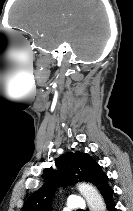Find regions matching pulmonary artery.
Listing matches in <instances>:
<instances>
[{
	"label": "pulmonary artery",
	"instance_id": "pulmonary-artery-1",
	"mask_svg": "<svg viewBox=\"0 0 133 211\" xmlns=\"http://www.w3.org/2000/svg\"><path fill=\"white\" fill-rule=\"evenodd\" d=\"M86 206L81 196L73 195L69 198L68 207L70 210H83Z\"/></svg>",
	"mask_w": 133,
	"mask_h": 211
}]
</instances>
